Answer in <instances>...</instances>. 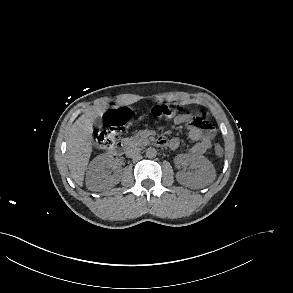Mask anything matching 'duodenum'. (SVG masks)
Masks as SVG:
<instances>
[{"instance_id":"duodenum-1","label":"duodenum","mask_w":293,"mask_h":293,"mask_svg":"<svg viewBox=\"0 0 293 293\" xmlns=\"http://www.w3.org/2000/svg\"><path fill=\"white\" fill-rule=\"evenodd\" d=\"M129 149L128 143L125 140H120L111 149V153L114 155H122L126 153Z\"/></svg>"}]
</instances>
